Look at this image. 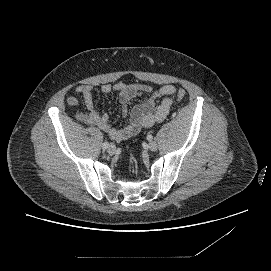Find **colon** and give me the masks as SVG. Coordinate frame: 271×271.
<instances>
[{"label": "colon", "mask_w": 271, "mask_h": 271, "mask_svg": "<svg viewBox=\"0 0 271 271\" xmlns=\"http://www.w3.org/2000/svg\"><path fill=\"white\" fill-rule=\"evenodd\" d=\"M185 96H186V93L183 89H180L173 94V98L176 100H182Z\"/></svg>", "instance_id": "1"}]
</instances>
